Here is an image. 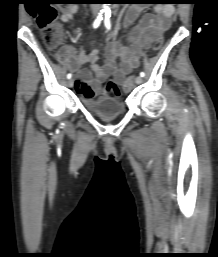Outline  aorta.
I'll list each match as a JSON object with an SVG mask.
<instances>
[{"label":"aorta","instance_id":"762f6f07","mask_svg":"<svg viewBox=\"0 0 218 257\" xmlns=\"http://www.w3.org/2000/svg\"><path fill=\"white\" fill-rule=\"evenodd\" d=\"M110 4H103V9L102 11L105 12V13H109L110 12V7H109Z\"/></svg>","mask_w":218,"mask_h":257}]
</instances>
